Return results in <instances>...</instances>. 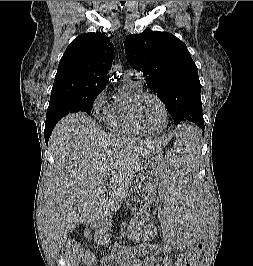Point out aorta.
<instances>
[{
  "mask_svg": "<svg viewBox=\"0 0 253 266\" xmlns=\"http://www.w3.org/2000/svg\"><path fill=\"white\" fill-rule=\"evenodd\" d=\"M118 70V68L117 67H114L113 69H112V72H115V71H117Z\"/></svg>",
  "mask_w": 253,
  "mask_h": 266,
  "instance_id": "762f6f07",
  "label": "aorta"
}]
</instances>
